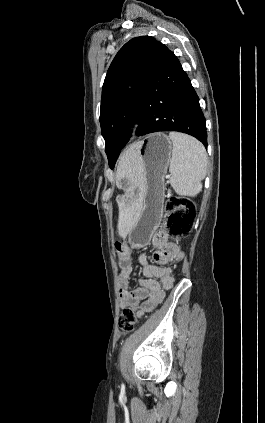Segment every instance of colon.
<instances>
[{"instance_id": "colon-1", "label": "colon", "mask_w": 265, "mask_h": 423, "mask_svg": "<svg viewBox=\"0 0 265 423\" xmlns=\"http://www.w3.org/2000/svg\"><path fill=\"white\" fill-rule=\"evenodd\" d=\"M167 220L166 232L171 238H179L188 235L194 224L196 209L194 205L185 198L171 197L166 201ZM118 258L120 261H126L129 249L126 245L116 246ZM138 323L137 316L133 309H124L119 315V328L129 333L134 330Z\"/></svg>"}]
</instances>
